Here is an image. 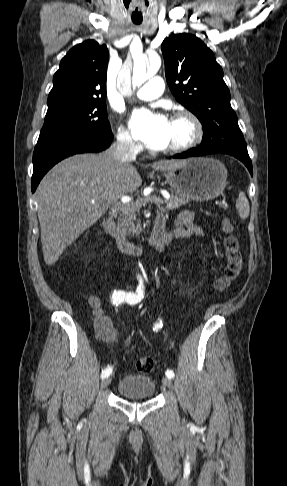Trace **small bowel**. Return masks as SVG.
<instances>
[{
	"instance_id": "c3829d8e",
	"label": "small bowel",
	"mask_w": 287,
	"mask_h": 486,
	"mask_svg": "<svg viewBox=\"0 0 287 486\" xmlns=\"http://www.w3.org/2000/svg\"><path fill=\"white\" fill-rule=\"evenodd\" d=\"M200 234L201 229L194 222L193 213L185 210L174 219V227L165 235L160 249L170 245L176 239H185ZM88 302L94 316V329L97 337L108 343L117 341L118 332L114 328L110 318L105 315L100 298L95 295H90Z\"/></svg>"
}]
</instances>
